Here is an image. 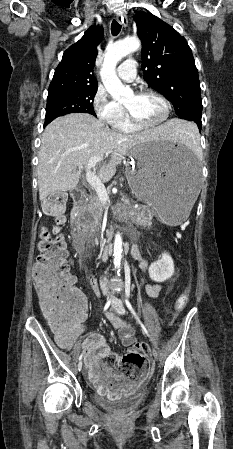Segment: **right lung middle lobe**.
<instances>
[{"label": "right lung middle lobe", "instance_id": "obj_1", "mask_svg": "<svg viewBox=\"0 0 233 449\" xmlns=\"http://www.w3.org/2000/svg\"><path fill=\"white\" fill-rule=\"evenodd\" d=\"M97 89L63 90L48 94L45 126L55 118L75 112L96 116L93 100Z\"/></svg>", "mask_w": 233, "mask_h": 449}]
</instances>
